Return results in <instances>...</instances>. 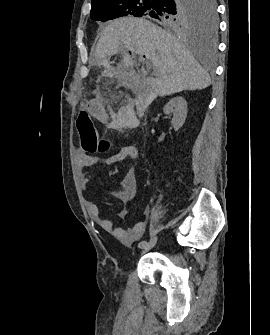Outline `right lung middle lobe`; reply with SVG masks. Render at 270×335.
I'll use <instances>...</instances> for the list:
<instances>
[{
  "label": "right lung middle lobe",
  "mask_w": 270,
  "mask_h": 335,
  "mask_svg": "<svg viewBox=\"0 0 270 335\" xmlns=\"http://www.w3.org/2000/svg\"><path fill=\"white\" fill-rule=\"evenodd\" d=\"M145 17L172 29L205 25L217 28L214 0H106L92 5V20L108 21L122 16Z\"/></svg>",
  "instance_id": "dd1d6c3e"
}]
</instances>
